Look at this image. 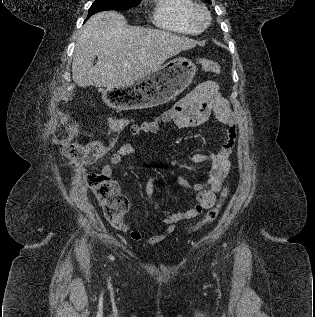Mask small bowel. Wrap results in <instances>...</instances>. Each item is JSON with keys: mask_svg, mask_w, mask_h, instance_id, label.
I'll list each match as a JSON object with an SVG mask.
<instances>
[{"mask_svg": "<svg viewBox=\"0 0 315 317\" xmlns=\"http://www.w3.org/2000/svg\"><path fill=\"white\" fill-rule=\"evenodd\" d=\"M212 115L225 125L226 139L217 152L194 153L191 160L194 163L210 162L212 165L206 184L189 183L185 178L178 176L176 181L184 188L193 189L196 193L197 203L191 209L179 212H165L163 223L166 229L157 235L144 240L139 230H131L130 238L134 241L144 240L148 245H155L164 240L175 230L176 223L199 216L204 210L211 208L216 199V194L221 188L223 179L227 176L230 168V154L237 137V121L229 103L221 97L218 84L207 81L198 85L191 93L179 100L171 108L161 112L154 118L140 124H132L130 133L134 136L156 133L164 123L173 122L181 129L198 127L206 122ZM138 148L126 143L117 148L111 155L110 162L103 166L102 172L112 175L113 167L118 166L124 157L134 155ZM145 193L153 208L158 209L159 203L154 198L155 178L151 177L145 184ZM123 230H129L124 226Z\"/></svg>", "mask_w": 315, "mask_h": 317, "instance_id": "obj_1", "label": "small bowel"}]
</instances>
